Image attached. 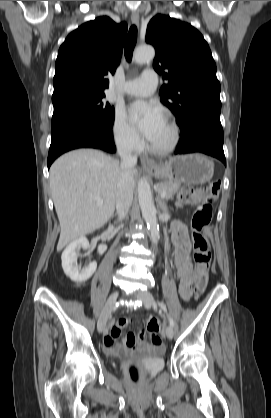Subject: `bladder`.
Listing matches in <instances>:
<instances>
[{
    "label": "bladder",
    "mask_w": 271,
    "mask_h": 418,
    "mask_svg": "<svg viewBox=\"0 0 271 418\" xmlns=\"http://www.w3.org/2000/svg\"><path fill=\"white\" fill-rule=\"evenodd\" d=\"M163 350L152 352L145 361V369L150 375H155L164 368Z\"/></svg>",
    "instance_id": "obj_1"
}]
</instances>
